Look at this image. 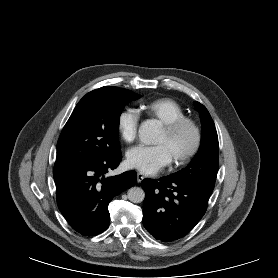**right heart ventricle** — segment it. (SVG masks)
Returning <instances> with one entry per match:
<instances>
[{"label": "right heart ventricle", "mask_w": 278, "mask_h": 278, "mask_svg": "<svg viewBox=\"0 0 278 278\" xmlns=\"http://www.w3.org/2000/svg\"><path fill=\"white\" fill-rule=\"evenodd\" d=\"M140 111L158 120L161 124H168L178 118L185 117L182 106L171 98H158L140 105Z\"/></svg>", "instance_id": "obj_1"}]
</instances>
